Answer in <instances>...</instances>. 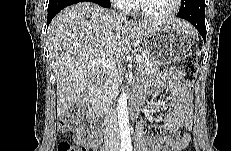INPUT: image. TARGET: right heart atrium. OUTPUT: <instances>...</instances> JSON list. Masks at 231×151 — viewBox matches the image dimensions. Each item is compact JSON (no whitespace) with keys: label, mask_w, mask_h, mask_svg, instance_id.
<instances>
[{"label":"right heart atrium","mask_w":231,"mask_h":151,"mask_svg":"<svg viewBox=\"0 0 231 151\" xmlns=\"http://www.w3.org/2000/svg\"><path fill=\"white\" fill-rule=\"evenodd\" d=\"M112 3L120 11L127 12L130 9V1L128 0H114Z\"/></svg>","instance_id":"obj_1"}]
</instances>
